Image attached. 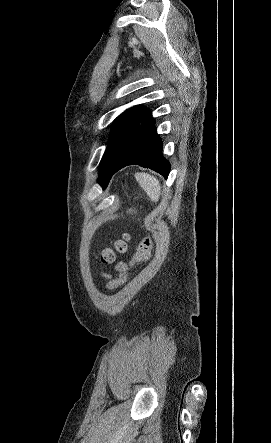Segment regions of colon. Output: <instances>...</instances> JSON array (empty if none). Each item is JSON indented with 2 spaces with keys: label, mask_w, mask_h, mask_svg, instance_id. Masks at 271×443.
I'll return each mask as SVG.
<instances>
[{
  "label": "colon",
  "mask_w": 271,
  "mask_h": 443,
  "mask_svg": "<svg viewBox=\"0 0 271 443\" xmlns=\"http://www.w3.org/2000/svg\"><path fill=\"white\" fill-rule=\"evenodd\" d=\"M128 245V236L125 235L121 239L116 240L111 247H107L102 250L101 252V260L104 263L110 264L115 261V257L117 253H124L127 250ZM153 248V239L151 236H146L136 247L135 253L132 256L130 262H129V268L122 271L120 274H118L117 277H115L113 280H111L107 285L106 289L109 291H114L121 287L127 280V277L129 275V272L131 269L139 263H142L144 261H147L152 252Z\"/></svg>",
  "instance_id": "colon-1"
}]
</instances>
